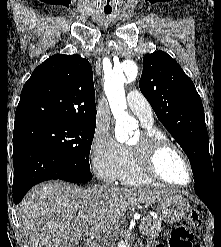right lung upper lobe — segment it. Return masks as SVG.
<instances>
[{
  "label": "right lung upper lobe",
  "instance_id": "1",
  "mask_svg": "<svg viewBox=\"0 0 221 247\" xmlns=\"http://www.w3.org/2000/svg\"><path fill=\"white\" fill-rule=\"evenodd\" d=\"M51 122L96 123L92 68L79 55L49 57L22 89L14 129Z\"/></svg>",
  "mask_w": 221,
  "mask_h": 247
}]
</instances>
